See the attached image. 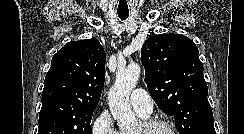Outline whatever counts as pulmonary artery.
<instances>
[{
	"label": "pulmonary artery",
	"instance_id": "obj_1",
	"mask_svg": "<svg viewBox=\"0 0 244 134\" xmlns=\"http://www.w3.org/2000/svg\"><path fill=\"white\" fill-rule=\"evenodd\" d=\"M130 103L133 109L144 117H149L153 112V101L144 89H135L131 93Z\"/></svg>",
	"mask_w": 244,
	"mask_h": 134
}]
</instances>
